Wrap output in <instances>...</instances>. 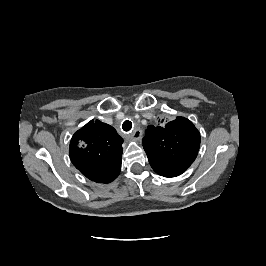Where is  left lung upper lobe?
Segmentation results:
<instances>
[{"instance_id": "1", "label": "left lung upper lobe", "mask_w": 266, "mask_h": 266, "mask_svg": "<svg viewBox=\"0 0 266 266\" xmlns=\"http://www.w3.org/2000/svg\"><path fill=\"white\" fill-rule=\"evenodd\" d=\"M163 121L157 126H148L142 143L153 170L164 177H176L196 159L200 133L184 117Z\"/></svg>"}]
</instances>
